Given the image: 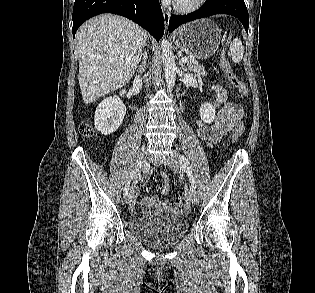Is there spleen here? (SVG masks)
Here are the masks:
<instances>
[{
	"label": "spleen",
	"instance_id": "spleen-1",
	"mask_svg": "<svg viewBox=\"0 0 315 293\" xmlns=\"http://www.w3.org/2000/svg\"><path fill=\"white\" fill-rule=\"evenodd\" d=\"M230 54L232 57V61L234 63H239L244 55V47L242 45L241 40L239 39H234L231 43H230Z\"/></svg>",
	"mask_w": 315,
	"mask_h": 293
}]
</instances>
